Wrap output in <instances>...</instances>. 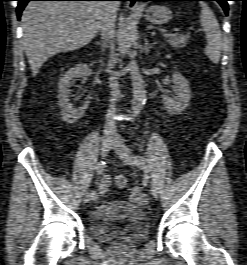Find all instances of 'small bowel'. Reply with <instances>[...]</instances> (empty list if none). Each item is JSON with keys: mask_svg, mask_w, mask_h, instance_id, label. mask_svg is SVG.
Returning a JSON list of instances; mask_svg holds the SVG:
<instances>
[{"mask_svg": "<svg viewBox=\"0 0 247 265\" xmlns=\"http://www.w3.org/2000/svg\"><path fill=\"white\" fill-rule=\"evenodd\" d=\"M111 184V179L108 175H103L100 179V192L105 194ZM128 200L132 203L144 205L148 202V196L143 192L141 186H134L129 190Z\"/></svg>", "mask_w": 247, "mask_h": 265, "instance_id": "obj_1", "label": "small bowel"}]
</instances>
